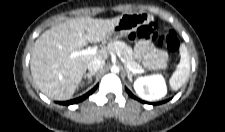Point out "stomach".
Instances as JSON below:
<instances>
[{"mask_svg":"<svg viewBox=\"0 0 225 132\" xmlns=\"http://www.w3.org/2000/svg\"><path fill=\"white\" fill-rule=\"evenodd\" d=\"M146 20H148V17L142 14L122 15L117 26L107 34L106 39L115 41L125 33L135 30L139 25L145 23Z\"/></svg>","mask_w":225,"mask_h":132,"instance_id":"stomach-1","label":"stomach"}]
</instances>
